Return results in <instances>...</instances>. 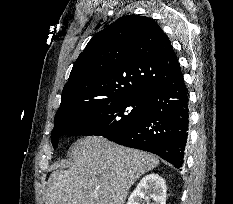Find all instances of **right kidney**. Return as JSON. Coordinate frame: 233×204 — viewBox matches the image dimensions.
I'll use <instances>...</instances> for the list:
<instances>
[{
    "label": "right kidney",
    "instance_id": "ca27d5eb",
    "mask_svg": "<svg viewBox=\"0 0 233 204\" xmlns=\"http://www.w3.org/2000/svg\"><path fill=\"white\" fill-rule=\"evenodd\" d=\"M165 180L158 174L151 173L144 176L137 187L131 193L127 204H165L166 202Z\"/></svg>",
    "mask_w": 233,
    "mask_h": 204
}]
</instances>
